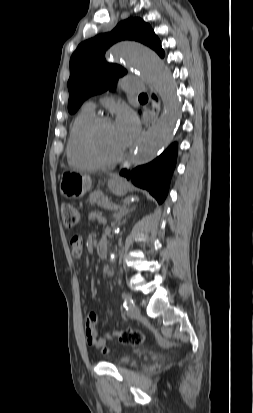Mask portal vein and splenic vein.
Here are the masks:
<instances>
[{
	"label": "portal vein and splenic vein",
	"mask_w": 253,
	"mask_h": 413,
	"mask_svg": "<svg viewBox=\"0 0 253 413\" xmlns=\"http://www.w3.org/2000/svg\"><path fill=\"white\" fill-rule=\"evenodd\" d=\"M103 207L108 209V210H112V209L117 208L118 206L111 203V202H106V203H103Z\"/></svg>",
	"instance_id": "portal-vein-and-splenic-vein-1"
}]
</instances>
